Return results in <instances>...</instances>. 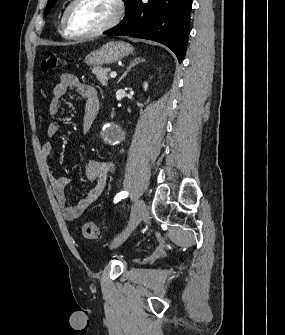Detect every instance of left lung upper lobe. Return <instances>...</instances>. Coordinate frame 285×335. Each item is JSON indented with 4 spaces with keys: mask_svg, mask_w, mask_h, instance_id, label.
Returning <instances> with one entry per match:
<instances>
[{
    "mask_svg": "<svg viewBox=\"0 0 285 335\" xmlns=\"http://www.w3.org/2000/svg\"><path fill=\"white\" fill-rule=\"evenodd\" d=\"M57 0H48V4L45 10V16L47 15V13L49 12V10L54 6V4L56 3Z\"/></svg>",
    "mask_w": 285,
    "mask_h": 335,
    "instance_id": "left-lung-upper-lobe-1",
    "label": "left lung upper lobe"
}]
</instances>
